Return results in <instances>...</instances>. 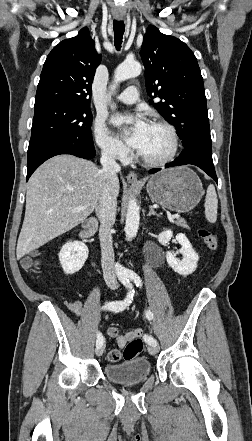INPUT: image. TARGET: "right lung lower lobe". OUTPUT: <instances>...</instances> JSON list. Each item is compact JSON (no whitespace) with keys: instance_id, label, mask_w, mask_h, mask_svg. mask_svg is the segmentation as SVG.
I'll list each match as a JSON object with an SVG mask.
<instances>
[{"instance_id":"obj_1","label":"right lung lower lobe","mask_w":252,"mask_h":441,"mask_svg":"<svg viewBox=\"0 0 252 441\" xmlns=\"http://www.w3.org/2000/svg\"><path fill=\"white\" fill-rule=\"evenodd\" d=\"M60 154H71L91 159L95 156V148L92 140L70 137L47 139L29 145L27 180L44 161Z\"/></svg>"}]
</instances>
